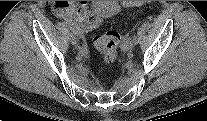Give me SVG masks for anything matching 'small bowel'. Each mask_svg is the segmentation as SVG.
Returning a JSON list of instances; mask_svg holds the SVG:
<instances>
[{
	"label": "small bowel",
	"mask_w": 207,
	"mask_h": 121,
	"mask_svg": "<svg viewBox=\"0 0 207 121\" xmlns=\"http://www.w3.org/2000/svg\"><path fill=\"white\" fill-rule=\"evenodd\" d=\"M53 10L57 17L74 24L81 35L91 31L99 23L87 1H55ZM85 53L83 52V54Z\"/></svg>",
	"instance_id": "c3829d8e"
}]
</instances>
